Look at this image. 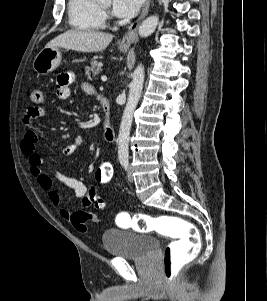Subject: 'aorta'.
Instances as JSON below:
<instances>
[{"label":"aorta","instance_id":"762f6f07","mask_svg":"<svg viewBox=\"0 0 267 301\" xmlns=\"http://www.w3.org/2000/svg\"><path fill=\"white\" fill-rule=\"evenodd\" d=\"M159 22L157 15L146 18L138 28V33L141 37L150 36L156 29ZM144 67L139 65L132 77L129 85V95L127 104L123 113L119 135H118V158L119 160H127L129 157V136L133 114L141 97L144 84Z\"/></svg>","mask_w":267,"mask_h":301}]
</instances>
